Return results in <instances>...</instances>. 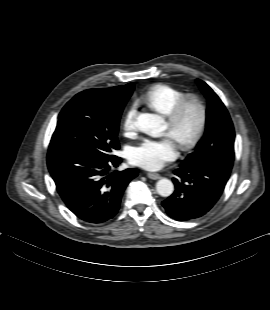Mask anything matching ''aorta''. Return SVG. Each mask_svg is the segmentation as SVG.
<instances>
[{
  "label": "aorta",
  "instance_id": "762f6f07",
  "mask_svg": "<svg viewBox=\"0 0 270 310\" xmlns=\"http://www.w3.org/2000/svg\"><path fill=\"white\" fill-rule=\"evenodd\" d=\"M137 125L145 131L162 132L165 130L164 119L152 113H142L137 117ZM156 191L162 197L170 196L174 191L171 180L163 178L156 184Z\"/></svg>",
  "mask_w": 270,
  "mask_h": 310
}]
</instances>
